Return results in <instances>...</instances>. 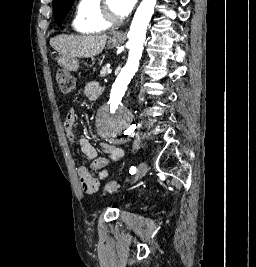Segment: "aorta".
Masks as SVG:
<instances>
[{
	"mask_svg": "<svg viewBox=\"0 0 256 267\" xmlns=\"http://www.w3.org/2000/svg\"><path fill=\"white\" fill-rule=\"evenodd\" d=\"M157 0H142L138 6L130 30L127 34L129 42L128 60L123 66V72L117 75L113 90L110 92L108 104L103 108H98L97 127H128V122H133V117H129V108H124L118 100L123 97L126 85L130 82L133 74L137 72L139 60L143 52V44L147 32V26L154 14ZM94 133H98V138H106V143H131V138H119V133H123V128H94Z\"/></svg>",
	"mask_w": 256,
	"mask_h": 267,
	"instance_id": "obj_1",
	"label": "aorta"
}]
</instances>
